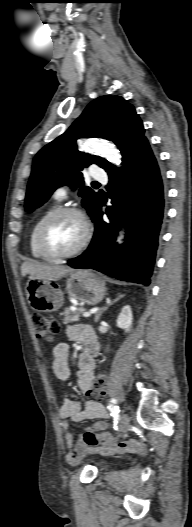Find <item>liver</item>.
Returning <instances> with one entry per match:
<instances>
[{
	"instance_id": "1",
	"label": "liver",
	"mask_w": 192,
	"mask_h": 527,
	"mask_svg": "<svg viewBox=\"0 0 192 527\" xmlns=\"http://www.w3.org/2000/svg\"><path fill=\"white\" fill-rule=\"evenodd\" d=\"M73 272L72 268L63 265H51L35 261H25L21 265L22 276L30 275L32 278L57 281L66 274Z\"/></svg>"
}]
</instances>
